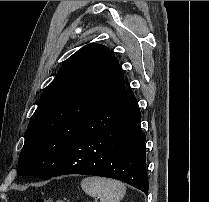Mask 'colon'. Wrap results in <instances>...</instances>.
<instances>
[{
    "label": "colon",
    "mask_w": 209,
    "mask_h": 202,
    "mask_svg": "<svg viewBox=\"0 0 209 202\" xmlns=\"http://www.w3.org/2000/svg\"><path fill=\"white\" fill-rule=\"evenodd\" d=\"M35 202H67V201L64 199L53 200L52 198H49V197H40L36 199Z\"/></svg>",
    "instance_id": "1"
}]
</instances>
